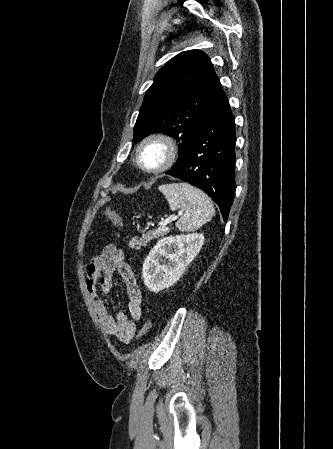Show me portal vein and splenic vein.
I'll list each match as a JSON object with an SVG mask.
<instances>
[{
  "label": "portal vein and splenic vein",
  "instance_id": "portal-vein-and-splenic-vein-1",
  "mask_svg": "<svg viewBox=\"0 0 333 449\" xmlns=\"http://www.w3.org/2000/svg\"><path fill=\"white\" fill-rule=\"evenodd\" d=\"M179 215H180V214H179ZM177 219H178V216H177V215H172V216H170L168 219L162 221L159 225H160V227L166 226V225H168V224H170V223L176 221Z\"/></svg>",
  "mask_w": 333,
  "mask_h": 449
}]
</instances>
